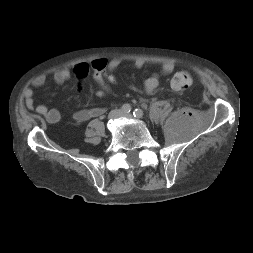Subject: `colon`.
Here are the masks:
<instances>
[{
	"label": "colon",
	"mask_w": 253,
	"mask_h": 253,
	"mask_svg": "<svg viewBox=\"0 0 253 253\" xmlns=\"http://www.w3.org/2000/svg\"><path fill=\"white\" fill-rule=\"evenodd\" d=\"M91 69L93 73V78L99 85V94L103 95L108 90L110 85L116 84L117 79L113 72L108 70L107 60L103 58L95 59L91 62ZM193 84V79L189 73L178 72L176 73L172 80L171 86L176 90H185L191 87Z\"/></svg>",
	"instance_id": "obj_1"
}]
</instances>
